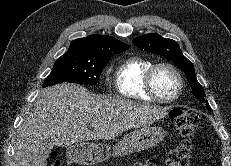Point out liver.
I'll list each match as a JSON object with an SVG mask.
<instances>
[{
  "label": "liver",
  "instance_id": "obj_1",
  "mask_svg": "<svg viewBox=\"0 0 231 166\" xmlns=\"http://www.w3.org/2000/svg\"><path fill=\"white\" fill-rule=\"evenodd\" d=\"M167 110L128 100L94 97L84 87L70 83L46 88L19 128L14 142L15 166H44L54 145L113 139L124 131L146 127L164 118Z\"/></svg>",
  "mask_w": 231,
  "mask_h": 166
}]
</instances>
